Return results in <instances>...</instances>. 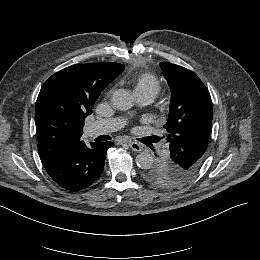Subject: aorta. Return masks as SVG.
I'll return each mask as SVG.
<instances>
[{"mask_svg": "<svg viewBox=\"0 0 260 260\" xmlns=\"http://www.w3.org/2000/svg\"><path fill=\"white\" fill-rule=\"evenodd\" d=\"M111 101L113 105L120 111H125L130 109L133 104V97L132 95L124 90L118 89L115 90L112 94ZM136 164L141 169H147L153 165V156L149 152H141L136 156Z\"/></svg>", "mask_w": 260, "mask_h": 260, "instance_id": "aorta-1", "label": "aorta"}]
</instances>
